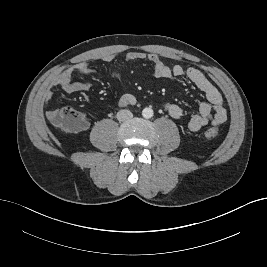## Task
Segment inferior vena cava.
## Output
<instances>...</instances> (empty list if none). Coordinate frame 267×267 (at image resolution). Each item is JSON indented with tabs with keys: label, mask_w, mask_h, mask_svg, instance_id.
Instances as JSON below:
<instances>
[{
	"label": "inferior vena cava",
	"mask_w": 267,
	"mask_h": 267,
	"mask_svg": "<svg viewBox=\"0 0 267 267\" xmlns=\"http://www.w3.org/2000/svg\"><path fill=\"white\" fill-rule=\"evenodd\" d=\"M133 117V114L131 111L122 109L117 113V119L118 121H127L130 120Z\"/></svg>",
	"instance_id": "602c4592"
}]
</instances>
